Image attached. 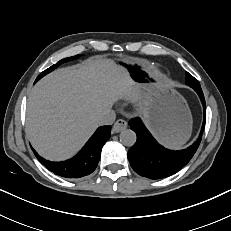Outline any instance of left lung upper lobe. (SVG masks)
<instances>
[{
  "label": "left lung upper lobe",
  "instance_id": "1",
  "mask_svg": "<svg viewBox=\"0 0 231 231\" xmlns=\"http://www.w3.org/2000/svg\"><path fill=\"white\" fill-rule=\"evenodd\" d=\"M186 83L187 85H189L190 87H192L193 89L196 90H200L202 91L201 89V86H200V83L198 82L197 79H195L191 74H189L188 72L186 73Z\"/></svg>",
  "mask_w": 231,
  "mask_h": 231
}]
</instances>
